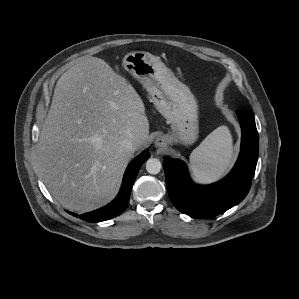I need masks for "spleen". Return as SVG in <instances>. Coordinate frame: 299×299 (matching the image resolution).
I'll return each mask as SVG.
<instances>
[{
  "label": "spleen",
  "mask_w": 299,
  "mask_h": 299,
  "mask_svg": "<svg viewBox=\"0 0 299 299\" xmlns=\"http://www.w3.org/2000/svg\"><path fill=\"white\" fill-rule=\"evenodd\" d=\"M232 159V137L226 126H220L210 133L190 155L194 173L203 181L220 177Z\"/></svg>",
  "instance_id": "3e777b00"
}]
</instances>
